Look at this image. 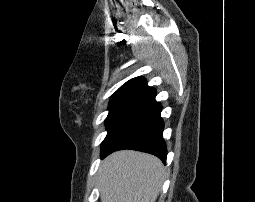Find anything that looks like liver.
<instances>
[{
    "label": "liver",
    "mask_w": 255,
    "mask_h": 202,
    "mask_svg": "<svg viewBox=\"0 0 255 202\" xmlns=\"http://www.w3.org/2000/svg\"><path fill=\"white\" fill-rule=\"evenodd\" d=\"M165 168L155 156L123 150L106 157L99 168L101 202H156Z\"/></svg>",
    "instance_id": "liver-1"
}]
</instances>
